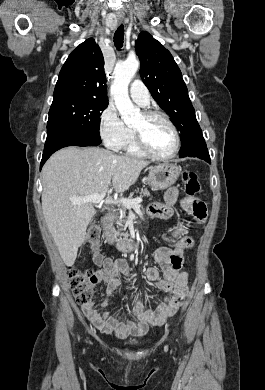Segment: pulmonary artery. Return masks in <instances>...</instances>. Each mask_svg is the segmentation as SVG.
<instances>
[{"label":"pulmonary artery","mask_w":265,"mask_h":390,"mask_svg":"<svg viewBox=\"0 0 265 390\" xmlns=\"http://www.w3.org/2000/svg\"><path fill=\"white\" fill-rule=\"evenodd\" d=\"M130 96L134 102L142 107H146L150 104V93L147 87L139 79H135L131 83Z\"/></svg>","instance_id":"e3ab8cb5"}]
</instances>
